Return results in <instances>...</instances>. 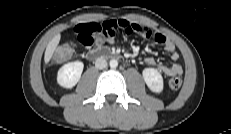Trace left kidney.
<instances>
[{"instance_id": "obj_1", "label": "left kidney", "mask_w": 231, "mask_h": 134, "mask_svg": "<svg viewBox=\"0 0 231 134\" xmlns=\"http://www.w3.org/2000/svg\"><path fill=\"white\" fill-rule=\"evenodd\" d=\"M142 75L146 85L152 92L161 93L163 91V77L158 70L145 68Z\"/></svg>"}]
</instances>
